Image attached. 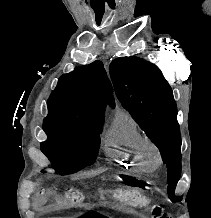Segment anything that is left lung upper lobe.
I'll return each mask as SVG.
<instances>
[{
    "mask_svg": "<svg viewBox=\"0 0 211 218\" xmlns=\"http://www.w3.org/2000/svg\"><path fill=\"white\" fill-rule=\"evenodd\" d=\"M110 75L122 105L159 148L169 198L179 202L174 190L181 174V136L171 87L156 65L134 56L113 60Z\"/></svg>",
    "mask_w": 211,
    "mask_h": 218,
    "instance_id": "1",
    "label": "left lung upper lobe"
}]
</instances>
